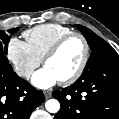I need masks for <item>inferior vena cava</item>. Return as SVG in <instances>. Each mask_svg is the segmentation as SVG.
<instances>
[{
	"instance_id": "inferior-vena-cava-1",
	"label": "inferior vena cava",
	"mask_w": 119,
	"mask_h": 119,
	"mask_svg": "<svg viewBox=\"0 0 119 119\" xmlns=\"http://www.w3.org/2000/svg\"><path fill=\"white\" fill-rule=\"evenodd\" d=\"M31 71H25L24 73H23V75L25 76V77H30V75H31Z\"/></svg>"
}]
</instances>
